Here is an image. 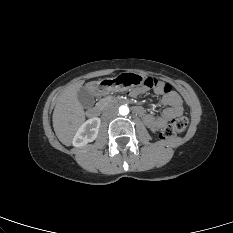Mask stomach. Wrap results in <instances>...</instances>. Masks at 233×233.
I'll use <instances>...</instances> for the list:
<instances>
[{"instance_id":"obj_1","label":"stomach","mask_w":233,"mask_h":233,"mask_svg":"<svg viewBox=\"0 0 233 233\" xmlns=\"http://www.w3.org/2000/svg\"><path fill=\"white\" fill-rule=\"evenodd\" d=\"M144 77L139 74L127 73L115 77H108L105 81L94 83L97 95H106L108 93L124 94L128 89H137L140 87Z\"/></svg>"}]
</instances>
